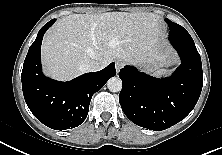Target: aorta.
Wrapping results in <instances>:
<instances>
[{"label":"aorta","instance_id":"obj_1","mask_svg":"<svg viewBox=\"0 0 222 155\" xmlns=\"http://www.w3.org/2000/svg\"><path fill=\"white\" fill-rule=\"evenodd\" d=\"M107 87L111 92H119L122 89V80L119 77H112L107 81Z\"/></svg>","mask_w":222,"mask_h":155}]
</instances>
